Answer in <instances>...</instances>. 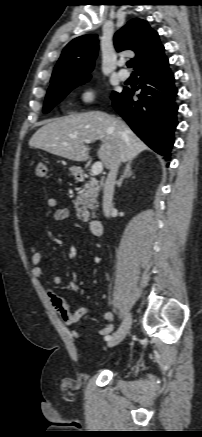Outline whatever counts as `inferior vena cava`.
I'll list each match as a JSON object with an SVG mask.
<instances>
[{
  "label": "inferior vena cava",
  "instance_id": "obj_1",
  "mask_svg": "<svg viewBox=\"0 0 202 437\" xmlns=\"http://www.w3.org/2000/svg\"><path fill=\"white\" fill-rule=\"evenodd\" d=\"M119 165L120 162H117L112 166L104 184L103 212L106 217H109L111 212L114 210L113 195H114V187L116 183V177H117Z\"/></svg>",
  "mask_w": 202,
  "mask_h": 437
}]
</instances>
